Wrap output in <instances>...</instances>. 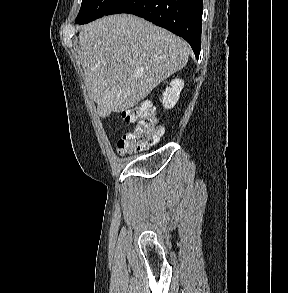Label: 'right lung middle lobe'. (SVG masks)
I'll return each instance as SVG.
<instances>
[{
    "label": "right lung middle lobe",
    "mask_w": 288,
    "mask_h": 293,
    "mask_svg": "<svg viewBox=\"0 0 288 293\" xmlns=\"http://www.w3.org/2000/svg\"><path fill=\"white\" fill-rule=\"evenodd\" d=\"M121 0H83L81 9L75 20L78 24L88 23L100 18Z\"/></svg>",
    "instance_id": "dd1d6c3e"
}]
</instances>
